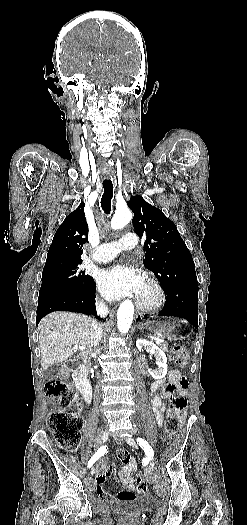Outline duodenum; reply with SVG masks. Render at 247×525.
Masks as SVG:
<instances>
[{
    "label": "duodenum",
    "mask_w": 247,
    "mask_h": 525,
    "mask_svg": "<svg viewBox=\"0 0 247 525\" xmlns=\"http://www.w3.org/2000/svg\"><path fill=\"white\" fill-rule=\"evenodd\" d=\"M72 370L78 389L85 401L90 403L92 400V388L86 378V364L83 361H76L72 364Z\"/></svg>",
    "instance_id": "duodenum-1"
}]
</instances>
